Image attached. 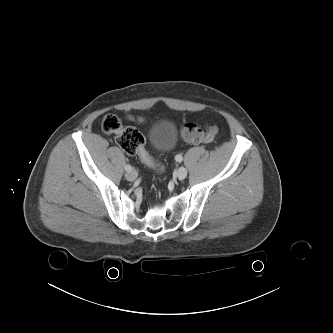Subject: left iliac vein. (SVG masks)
Returning <instances> with one entry per match:
<instances>
[{
	"instance_id": "left-iliac-vein-1",
	"label": "left iliac vein",
	"mask_w": 333,
	"mask_h": 333,
	"mask_svg": "<svg viewBox=\"0 0 333 333\" xmlns=\"http://www.w3.org/2000/svg\"><path fill=\"white\" fill-rule=\"evenodd\" d=\"M187 176V170L185 167H180L177 171V177L179 180L185 179Z\"/></svg>"
}]
</instances>
